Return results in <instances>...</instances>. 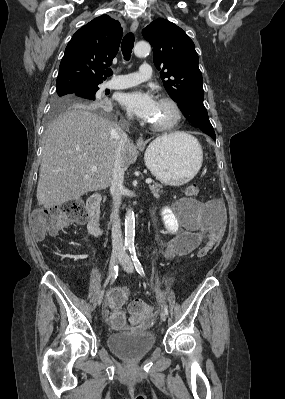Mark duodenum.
<instances>
[{"instance_id":"1","label":"duodenum","mask_w":285,"mask_h":399,"mask_svg":"<svg viewBox=\"0 0 285 399\" xmlns=\"http://www.w3.org/2000/svg\"><path fill=\"white\" fill-rule=\"evenodd\" d=\"M100 204L101 196L99 194L92 195L87 201V226L89 232L96 237L102 236L105 232L101 224Z\"/></svg>"}]
</instances>
